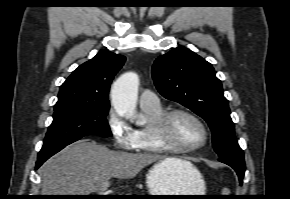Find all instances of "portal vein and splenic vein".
<instances>
[{"label":"portal vein and splenic vein","instance_id":"portal-vein-and-splenic-vein-1","mask_svg":"<svg viewBox=\"0 0 290 199\" xmlns=\"http://www.w3.org/2000/svg\"><path fill=\"white\" fill-rule=\"evenodd\" d=\"M109 186H110V183L107 181V182H104L101 186H100V188H99V192L101 193V194H106V191H107V189L109 188Z\"/></svg>","mask_w":290,"mask_h":199}]
</instances>
